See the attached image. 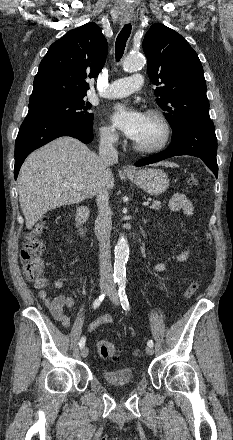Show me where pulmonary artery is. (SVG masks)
<instances>
[{
  "instance_id": "pulmonary-artery-1",
  "label": "pulmonary artery",
  "mask_w": 233,
  "mask_h": 440,
  "mask_svg": "<svg viewBox=\"0 0 233 440\" xmlns=\"http://www.w3.org/2000/svg\"><path fill=\"white\" fill-rule=\"evenodd\" d=\"M143 85V76L134 74L111 82L106 88L100 91V95L106 98L126 97L139 90Z\"/></svg>"
}]
</instances>
